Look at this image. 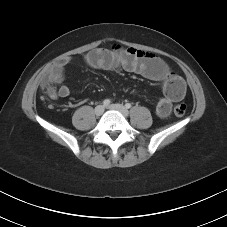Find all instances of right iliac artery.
I'll use <instances>...</instances> for the list:
<instances>
[{
  "instance_id": "82829eb1",
  "label": "right iliac artery",
  "mask_w": 227,
  "mask_h": 227,
  "mask_svg": "<svg viewBox=\"0 0 227 227\" xmlns=\"http://www.w3.org/2000/svg\"><path fill=\"white\" fill-rule=\"evenodd\" d=\"M110 103H111V101H110L109 99H105V100L103 101V105H104V106H108V105H110Z\"/></svg>"
}]
</instances>
